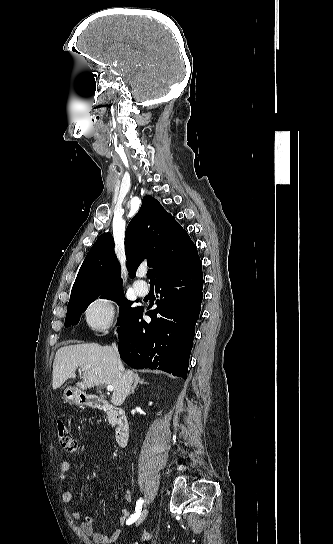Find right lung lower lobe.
Returning a JSON list of instances; mask_svg holds the SVG:
<instances>
[{"instance_id": "right-lung-lower-lobe-1", "label": "right lung lower lobe", "mask_w": 333, "mask_h": 544, "mask_svg": "<svg viewBox=\"0 0 333 544\" xmlns=\"http://www.w3.org/2000/svg\"><path fill=\"white\" fill-rule=\"evenodd\" d=\"M202 264L156 282L160 294L149 323L143 307L117 329L121 359L135 369H158L186 379L189 356L203 298Z\"/></svg>"}]
</instances>
